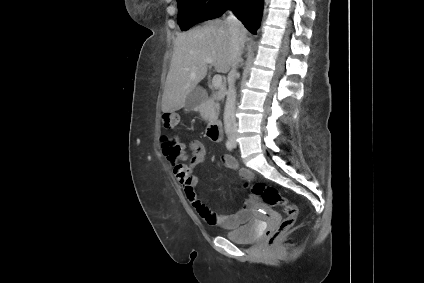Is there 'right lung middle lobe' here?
Listing matches in <instances>:
<instances>
[{"label": "right lung middle lobe", "instance_id": "obj_1", "mask_svg": "<svg viewBox=\"0 0 424 283\" xmlns=\"http://www.w3.org/2000/svg\"><path fill=\"white\" fill-rule=\"evenodd\" d=\"M178 24L182 31L202 21L220 17L234 0H177Z\"/></svg>", "mask_w": 424, "mask_h": 283}]
</instances>
